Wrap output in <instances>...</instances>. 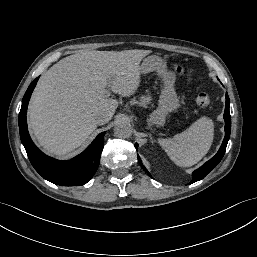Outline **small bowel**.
<instances>
[{"label": "small bowel", "instance_id": "1", "mask_svg": "<svg viewBox=\"0 0 257 257\" xmlns=\"http://www.w3.org/2000/svg\"><path fill=\"white\" fill-rule=\"evenodd\" d=\"M173 74L175 75V76H178V77H180V76H183L184 74H185V67L183 66V65H180V64H178V65H175L174 67H173Z\"/></svg>", "mask_w": 257, "mask_h": 257}]
</instances>
